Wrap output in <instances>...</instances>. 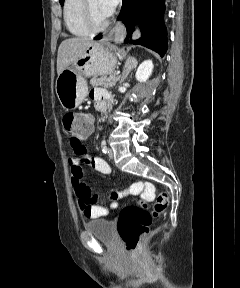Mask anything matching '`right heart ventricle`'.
Wrapping results in <instances>:
<instances>
[{
    "instance_id": "e07e8e85",
    "label": "right heart ventricle",
    "mask_w": 240,
    "mask_h": 288,
    "mask_svg": "<svg viewBox=\"0 0 240 288\" xmlns=\"http://www.w3.org/2000/svg\"><path fill=\"white\" fill-rule=\"evenodd\" d=\"M82 3L83 0H65L63 7L66 28L71 34L79 37L88 36L91 33L83 23Z\"/></svg>"
}]
</instances>
